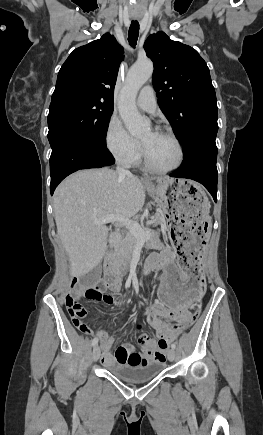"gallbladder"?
<instances>
[{
	"instance_id": "gallbladder-1",
	"label": "gallbladder",
	"mask_w": 263,
	"mask_h": 435,
	"mask_svg": "<svg viewBox=\"0 0 263 435\" xmlns=\"http://www.w3.org/2000/svg\"><path fill=\"white\" fill-rule=\"evenodd\" d=\"M102 263H99L93 270L81 277V283L86 286L95 285L101 277Z\"/></svg>"
}]
</instances>
